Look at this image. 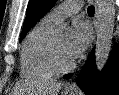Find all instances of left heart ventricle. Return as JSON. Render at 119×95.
Masks as SVG:
<instances>
[{
  "instance_id": "left-heart-ventricle-1",
  "label": "left heart ventricle",
  "mask_w": 119,
  "mask_h": 95,
  "mask_svg": "<svg viewBox=\"0 0 119 95\" xmlns=\"http://www.w3.org/2000/svg\"><path fill=\"white\" fill-rule=\"evenodd\" d=\"M57 48H58V52L60 55V58L62 59V61L64 62H70L72 61V59L67 55L66 53V42H67V37L66 36H61L55 39Z\"/></svg>"
}]
</instances>
